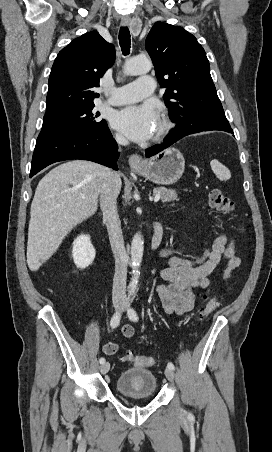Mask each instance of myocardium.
<instances>
[{
	"mask_svg": "<svg viewBox=\"0 0 272 452\" xmlns=\"http://www.w3.org/2000/svg\"><path fill=\"white\" fill-rule=\"evenodd\" d=\"M172 127L171 122L169 121V119L165 116H162L161 121L159 123V127L156 131L154 140H161L163 137H165L168 132L170 131Z\"/></svg>",
	"mask_w": 272,
	"mask_h": 452,
	"instance_id": "myocardium-1",
	"label": "myocardium"
}]
</instances>
